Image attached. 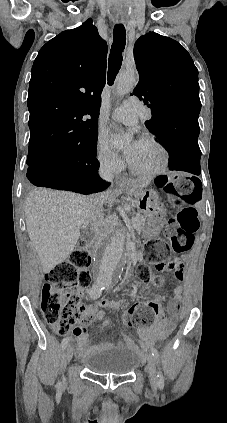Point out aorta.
Returning <instances> with one entry per match:
<instances>
[{"instance_id": "aorta-1", "label": "aorta", "mask_w": 227, "mask_h": 423, "mask_svg": "<svg viewBox=\"0 0 227 423\" xmlns=\"http://www.w3.org/2000/svg\"><path fill=\"white\" fill-rule=\"evenodd\" d=\"M137 82V75L134 72H123L119 75L115 92L119 96L129 93ZM130 139L129 136L121 135L115 140V145H123ZM125 236L122 230H117L111 239L101 243L94 254L93 272L97 285L110 287L115 284L125 266L124 255Z\"/></svg>"}]
</instances>
